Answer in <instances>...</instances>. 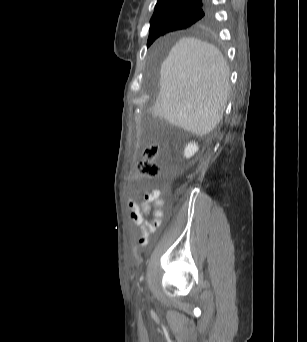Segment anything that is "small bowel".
Instances as JSON below:
<instances>
[{
  "mask_svg": "<svg viewBox=\"0 0 307 342\" xmlns=\"http://www.w3.org/2000/svg\"><path fill=\"white\" fill-rule=\"evenodd\" d=\"M151 204L154 205V218L152 222H147L144 215L151 212ZM164 199L161 197V192L158 189H153L145 194L144 200L141 203L133 199L129 200L130 219L132 223L141 227L139 243L141 246L147 244L149 236L160 226L163 215L162 208Z\"/></svg>",
  "mask_w": 307,
  "mask_h": 342,
  "instance_id": "c3829d8e",
  "label": "small bowel"
}]
</instances>
